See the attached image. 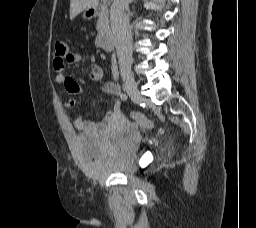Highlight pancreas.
Instances as JSON below:
<instances>
[{
	"instance_id": "cf45deb5",
	"label": "pancreas",
	"mask_w": 256,
	"mask_h": 228,
	"mask_svg": "<svg viewBox=\"0 0 256 228\" xmlns=\"http://www.w3.org/2000/svg\"><path fill=\"white\" fill-rule=\"evenodd\" d=\"M108 16H109V11L108 9H106L105 11H103L98 19V23H97V30L98 31H109V20H108Z\"/></svg>"
}]
</instances>
